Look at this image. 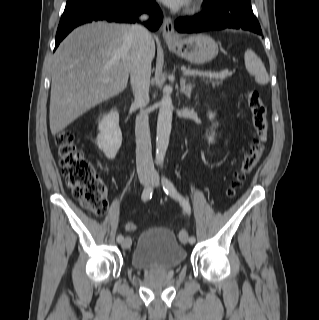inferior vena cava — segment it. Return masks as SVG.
<instances>
[{"mask_svg": "<svg viewBox=\"0 0 319 320\" xmlns=\"http://www.w3.org/2000/svg\"><path fill=\"white\" fill-rule=\"evenodd\" d=\"M146 18V15L141 17V19ZM129 36L133 42L130 66L131 86L135 103L143 109L149 102L152 36L144 26L137 23L130 26ZM135 135L137 173L139 176H150L154 173V163L148 114L144 111L136 117Z\"/></svg>", "mask_w": 319, "mask_h": 320, "instance_id": "602c4592", "label": "inferior vena cava"}]
</instances>
